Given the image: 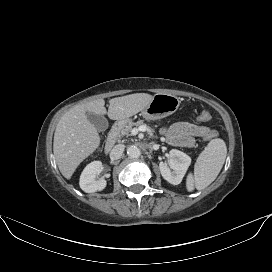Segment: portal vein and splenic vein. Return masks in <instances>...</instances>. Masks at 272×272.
Wrapping results in <instances>:
<instances>
[{
	"mask_svg": "<svg viewBox=\"0 0 272 272\" xmlns=\"http://www.w3.org/2000/svg\"><path fill=\"white\" fill-rule=\"evenodd\" d=\"M138 131H139V129H134L133 134H137Z\"/></svg>",
	"mask_w": 272,
	"mask_h": 272,
	"instance_id": "18ae733b",
	"label": "portal vein and splenic vein"
}]
</instances>
